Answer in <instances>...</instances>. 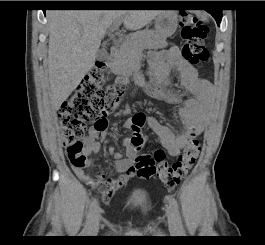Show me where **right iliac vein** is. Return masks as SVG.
Returning <instances> with one entry per match:
<instances>
[{"mask_svg": "<svg viewBox=\"0 0 265 245\" xmlns=\"http://www.w3.org/2000/svg\"><path fill=\"white\" fill-rule=\"evenodd\" d=\"M99 222H100V211L97 210L89 228L90 236H95L97 234L99 229Z\"/></svg>", "mask_w": 265, "mask_h": 245, "instance_id": "obj_1", "label": "right iliac vein"}]
</instances>
